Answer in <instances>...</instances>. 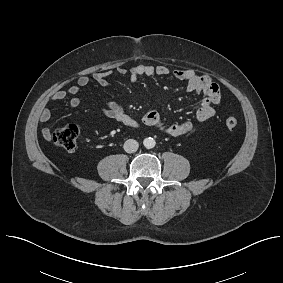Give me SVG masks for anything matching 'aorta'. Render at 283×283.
Segmentation results:
<instances>
[{
    "label": "aorta",
    "mask_w": 283,
    "mask_h": 283,
    "mask_svg": "<svg viewBox=\"0 0 283 283\" xmlns=\"http://www.w3.org/2000/svg\"><path fill=\"white\" fill-rule=\"evenodd\" d=\"M143 144L146 148L150 149L155 146V140L153 138H146Z\"/></svg>",
    "instance_id": "1"
}]
</instances>
